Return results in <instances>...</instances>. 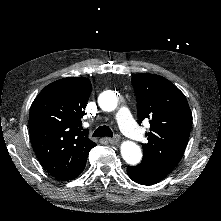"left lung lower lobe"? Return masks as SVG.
Here are the masks:
<instances>
[{
	"label": "left lung lower lobe",
	"mask_w": 221,
	"mask_h": 221,
	"mask_svg": "<svg viewBox=\"0 0 221 221\" xmlns=\"http://www.w3.org/2000/svg\"><path fill=\"white\" fill-rule=\"evenodd\" d=\"M127 173L133 181L142 185L155 184L166 176L144 160L137 166H129Z\"/></svg>",
	"instance_id": "1"
}]
</instances>
